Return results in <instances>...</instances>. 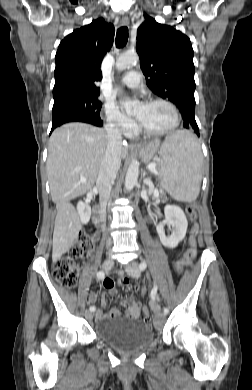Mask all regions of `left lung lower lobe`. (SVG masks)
<instances>
[{
  "label": "left lung lower lobe",
  "mask_w": 252,
  "mask_h": 390,
  "mask_svg": "<svg viewBox=\"0 0 252 390\" xmlns=\"http://www.w3.org/2000/svg\"><path fill=\"white\" fill-rule=\"evenodd\" d=\"M183 120H184V124H183L184 128L193 129L195 133L199 135V129L197 123L195 121V118H193L192 115L188 114L187 116H184Z\"/></svg>",
  "instance_id": "left-lung-lower-lobe-1"
}]
</instances>
